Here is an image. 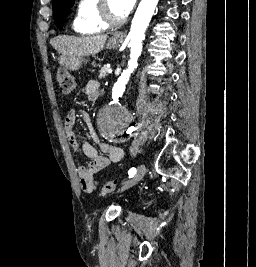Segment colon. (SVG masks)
I'll return each mask as SVG.
<instances>
[{"label": "colon", "instance_id": "colon-1", "mask_svg": "<svg viewBox=\"0 0 256 267\" xmlns=\"http://www.w3.org/2000/svg\"><path fill=\"white\" fill-rule=\"evenodd\" d=\"M57 80L60 90L67 94L71 93L77 86L76 78L72 73H69V70L58 71ZM117 189L118 183L116 181H109L103 184L99 191L102 195H106Z\"/></svg>", "mask_w": 256, "mask_h": 267}]
</instances>
